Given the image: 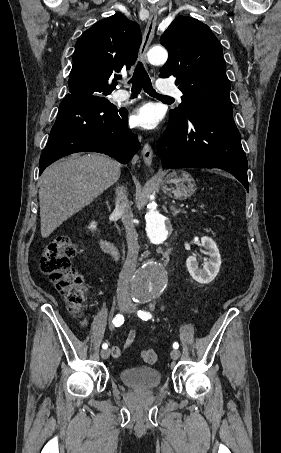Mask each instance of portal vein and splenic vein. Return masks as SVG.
<instances>
[{
    "label": "portal vein and splenic vein",
    "mask_w": 281,
    "mask_h": 453,
    "mask_svg": "<svg viewBox=\"0 0 281 453\" xmlns=\"http://www.w3.org/2000/svg\"><path fill=\"white\" fill-rule=\"evenodd\" d=\"M182 208L184 207L183 205L181 206ZM186 208L188 207L187 205L185 206ZM198 212V207H192V213ZM204 213H207V210H204Z\"/></svg>",
    "instance_id": "1"
}]
</instances>
